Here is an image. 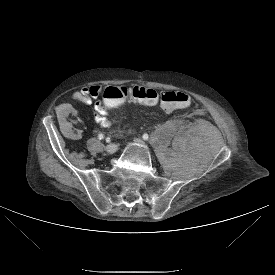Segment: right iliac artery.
Here are the masks:
<instances>
[{"instance_id": "1", "label": "right iliac artery", "mask_w": 275, "mask_h": 275, "mask_svg": "<svg viewBox=\"0 0 275 275\" xmlns=\"http://www.w3.org/2000/svg\"><path fill=\"white\" fill-rule=\"evenodd\" d=\"M98 139H100V140H101V139H104V135H103V134H99V135H98ZM107 141H109V138H107Z\"/></svg>"}]
</instances>
